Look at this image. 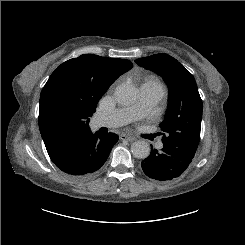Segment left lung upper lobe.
Here are the masks:
<instances>
[{"label":"left lung upper lobe","mask_w":245,"mask_h":245,"mask_svg":"<svg viewBox=\"0 0 245 245\" xmlns=\"http://www.w3.org/2000/svg\"><path fill=\"white\" fill-rule=\"evenodd\" d=\"M136 63L162 75L169 87V104L160 124L163 144L194 157L200 140L202 100L193 75L173 57L159 53Z\"/></svg>","instance_id":"obj_1"}]
</instances>
